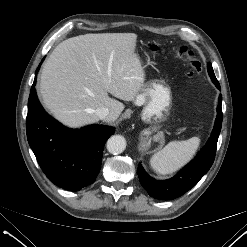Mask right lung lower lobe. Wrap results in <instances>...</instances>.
Returning a JSON list of instances; mask_svg holds the SVG:
<instances>
[{"mask_svg":"<svg viewBox=\"0 0 247 247\" xmlns=\"http://www.w3.org/2000/svg\"><path fill=\"white\" fill-rule=\"evenodd\" d=\"M35 82L26 118L29 145L50 181L63 189L78 191L96 180L104 144L115 130L103 125H90L80 130L64 127L42 108Z\"/></svg>","mask_w":247,"mask_h":247,"instance_id":"right-lung-lower-lobe-1","label":"right lung lower lobe"}]
</instances>
